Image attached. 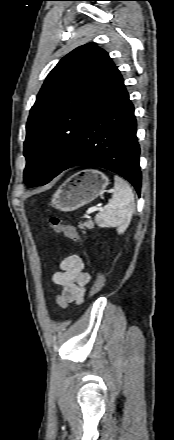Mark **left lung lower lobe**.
Returning <instances> with one entry per match:
<instances>
[{"mask_svg":"<svg viewBox=\"0 0 174 440\" xmlns=\"http://www.w3.org/2000/svg\"><path fill=\"white\" fill-rule=\"evenodd\" d=\"M136 131L134 106L117 69L109 87L91 109L77 149L61 172L78 165L102 167L130 181L140 196V148Z\"/></svg>","mask_w":174,"mask_h":440,"instance_id":"obj_1","label":"left lung lower lobe"}]
</instances>
